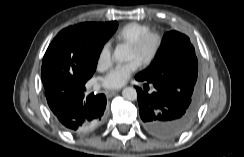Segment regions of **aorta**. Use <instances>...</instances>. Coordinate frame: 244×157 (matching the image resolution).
Listing matches in <instances>:
<instances>
[{
    "label": "aorta",
    "mask_w": 244,
    "mask_h": 157,
    "mask_svg": "<svg viewBox=\"0 0 244 157\" xmlns=\"http://www.w3.org/2000/svg\"><path fill=\"white\" fill-rule=\"evenodd\" d=\"M113 57L118 62H123L127 59V50L123 47H116ZM122 96L127 101H134L137 99V91L133 87H126L122 91Z\"/></svg>",
    "instance_id": "762f6f07"
}]
</instances>
